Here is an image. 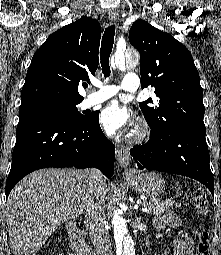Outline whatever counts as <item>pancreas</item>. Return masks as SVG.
I'll use <instances>...</instances> for the list:
<instances>
[{"instance_id":"obj_1","label":"pancreas","mask_w":221,"mask_h":255,"mask_svg":"<svg viewBox=\"0 0 221 255\" xmlns=\"http://www.w3.org/2000/svg\"><path fill=\"white\" fill-rule=\"evenodd\" d=\"M179 207L178 203H174L172 199L170 200H161L152 198L150 200L143 199L142 206L148 208L149 214L160 215L163 214L168 208L173 206Z\"/></svg>"}]
</instances>
